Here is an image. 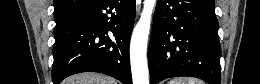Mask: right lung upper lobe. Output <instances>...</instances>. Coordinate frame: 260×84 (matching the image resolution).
I'll return each mask as SVG.
<instances>
[{"label":"right lung upper lobe","mask_w":260,"mask_h":84,"mask_svg":"<svg viewBox=\"0 0 260 84\" xmlns=\"http://www.w3.org/2000/svg\"><path fill=\"white\" fill-rule=\"evenodd\" d=\"M96 0H54L56 28L89 8Z\"/></svg>","instance_id":"cb5924a9"}]
</instances>
